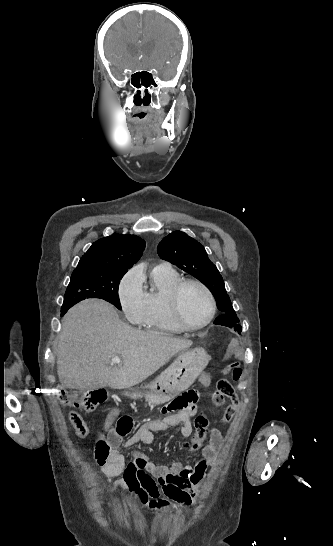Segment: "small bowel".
I'll return each mask as SVG.
<instances>
[{
	"label": "small bowel",
	"mask_w": 333,
	"mask_h": 546,
	"mask_svg": "<svg viewBox=\"0 0 333 546\" xmlns=\"http://www.w3.org/2000/svg\"><path fill=\"white\" fill-rule=\"evenodd\" d=\"M227 356L222 357L223 363L229 362V357H233L234 349H227ZM201 385L206 387L207 380L211 376V371L203 370L199 373ZM236 404L229 403L224 409V416L220 419L224 426L225 422H230L231 417L235 416ZM166 411L173 412L163 419H148L143 422L138 429L125 441V447H131L139 442L151 444L154 442L153 431H162L175 426H181V437L186 439L191 436L193 428L190 418L193 416L195 409L191 406L182 408H171L169 405ZM120 410L114 408L108 414L104 431L101 437L116 439V444L113 445L109 456L103 460H97L103 475L111 480L119 475L122 478L116 480L113 485L117 490L129 489L136 493L139 502L149 508L155 510H164L169 507V502L158 500L160 495H164L169 500L179 503L183 507H189L192 502L197 499L201 485L205 478L206 470L209 467L215 466L220 458V453L224 445V439L219 430L213 428L210 430L209 443L205 446L202 456L199 461L191 466L184 465L177 461L171 465H158L150 461L144 455H138L133 460L126 462L125 457L119 452V447L124 436H119L114 432L112 425L119 417ZM120 420L130 425L132 429V420L124 416ZM129 431V432H130ZM128 432V433H129ZM85 438L86 435H78ZM126 436V435H125Z\"/></svg>",
	"instance_id": "c3829d8e"
}]
</instances>
